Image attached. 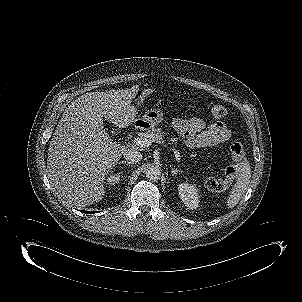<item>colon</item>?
<instances>
[{
  "instance_id": "1",
  "label": "colon",
  "mask_w": 302,
  "mask_h": 302,
  "mask_svg": "<svg viewBox=\"0 0 302 302\" xmlns=\"http://www.w3.org/2000/svg\"><path fill=\"white\" fill-rule=\"evenodd\" d=\"M209 113L214 118H222L226 115V108L221 104H211L208 107ZM231 156L235 165L230 166L226 170L225 180H219L213 176H209L205 179V185L208 189L213 191H220L225 188L226 183L233 179L236 175L237 167L244 161L245 152L243 145L235 141L230 146Z\"/></svg>"
}]
</instances>
